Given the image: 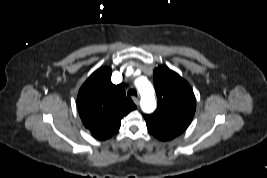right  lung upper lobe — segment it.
Wrapping results in <instances>:
<instances>
[{"label":"right lung upper lobe","instance_id":"obj_1","mask_svg":"<svg viewBox=\"0 0 267 178\" xmlns=\"http://www.w3.org/2000/svg\"><path fill=\"white\" fill-rule=\"evenodd\" d=\"M111 70L101 67L84 82L77 97L79 116L91 134L106 140L120 128L121 119L136 109L122 84L111 82Z\"/></svg>","mask_w":267,"mask_h":178}]
</instances>
